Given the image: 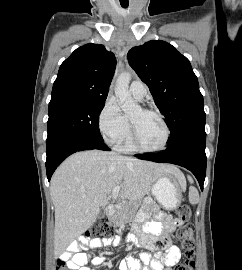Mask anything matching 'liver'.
Instances as JSON below:
<instances>
[{"label":"liver","instance_id":"obj_1","mask_svg":"<svg viewBox=\"0 0 242 270\" xmlns=\"http://www.w3.org/2000/svg\"><path fill=\"white\" fill-rule=\"evenodd\" d=\"M164 174L185 181L172 165L142 161L115 152L88 150L67 158L51 179L55 206L54 245L59 253L96 221L108 195L120 186V196L140 202Z\"/></svg>","mask_w":242,"mask_h":270}]
</instances>
